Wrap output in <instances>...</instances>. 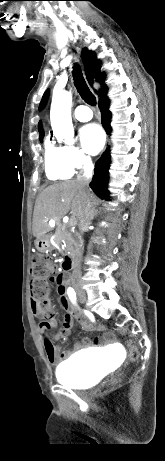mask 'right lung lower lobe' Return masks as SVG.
<instances>
[{
	"label": "right lung lower lobe",
	"instance_id": "1",
	"mask_svg": "<svg viewBox=\"0 0 165 461\" xmlns=\"http://www.w3.org/2000/svg\"><path fill=\"white\" fill-rule=\"evenodd\" d=\"M109 107V100L105 99L102 102V125L105 128L107 134L111 133V126H110V119H111V112L108 109ZM110 164V154L109 148L103 153L101 158L95 165L94 168V176L92 178V182L90 183V187L92 190L102 199H108V190H107V183H108V168Z\"/></svg>",
	"mask_w": 165,
	"mask_h": 461
}]
</instances>
